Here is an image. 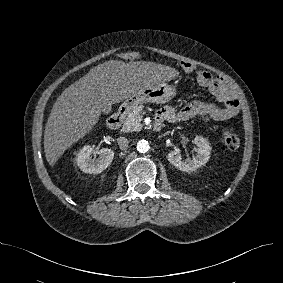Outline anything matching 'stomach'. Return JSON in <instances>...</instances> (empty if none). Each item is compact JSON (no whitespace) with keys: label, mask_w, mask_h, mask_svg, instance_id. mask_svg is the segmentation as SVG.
Returning <instances> with one entry per match:
<instances>
[{"label":"stomach","mask_w":283,"mask_h":283,"mask_svg":"<svg viewBox=\"0 0 283 283\" xmlns=\"http://www.w3.org/2000/svg\"><path fill=\"white\" fill-rule=\"evenodd\" d=\"M175 95L176 90L174 87L165 82H160L154 86L133 93L122 103L121 107L127 111H132L133 108L143 103L164 104L174 98Z\"/></svg>","instance_id":"1"}]
</instances>
